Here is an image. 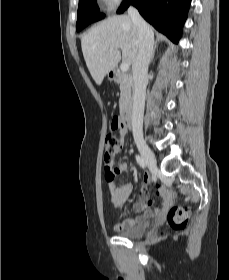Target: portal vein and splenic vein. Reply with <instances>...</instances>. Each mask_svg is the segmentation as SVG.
<instances>
[{
    "mask_svg": "<svg viewBox=\"0 0 229 280\" xmlns=\"http://www.w3.org/2000/svg\"><path fill=\"white\" fill-rule=\"evenodd\" d=\"M113 50H110V52H112ZM130 64L128 62H122L120 65V69L123 72L128 71Z\"/></svg>",
    "mask_w": 229,
    "mask_h": 280,
    "instance_id": "1",
    "label": "portal vein and splenic vein"
}]
</instances>
